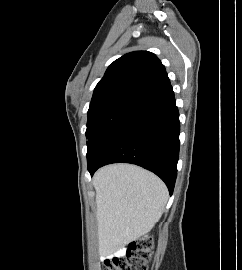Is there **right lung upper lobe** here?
Returning a JSON list of instances; mask_svg holds the SVG:
<instances>
[{"mask_svg": "<svg viewBox=\"0 0 242 270\" xmlns=\"http://www.w3.org/2000/svg\"><path fill=\"white\" fill-rule=\"evenodd\" d=\"M170 86L165 67L155 54L131 52L108 67L94 89L89 109L114 102L138 105Z\"/></svg>", "mask_w": 242, "mask_h": 270, "instance_id": "obj_1", "label": "right lung upper lobe"}]
</instances>
